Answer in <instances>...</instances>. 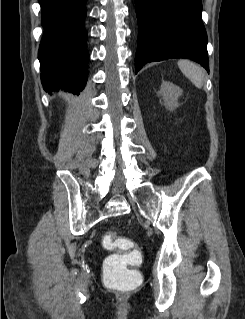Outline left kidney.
<instances>
[{
	"label": "left kidney",
	"instance_id": "obj_1",
	"mask_svg": "<svg viewBox=\"0 0 245 319\" xmlns=\"http://www.w3.org/2000/svg\"><path fill=\"white\" fill-rule=\"evenodd\" d=\"M183 90L171 82L163 81L159 94L162 96L164 105L169 110H173L178 106V98L182 95Z\"/></svg>",
	"mask_w": 245,
	"mask_h": 319
}]
</instances>
